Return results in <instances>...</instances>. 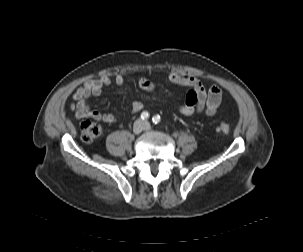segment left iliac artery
<instances>
[{"label":"left iliac artery","mask_w":303,"mask_h":252,"mask_svg":"<svg viewBox=\"0 0 303 252\" xmlns=\"http://www.w3.org/2000/svg\"><path fill=\"white\" fill-rule=\"evenodd\" d=\"M152 121H153L154 124H158L160 122V116L159 115H155L152 118Z\"/></svg>","instance_id":"1"}]
</instances>
